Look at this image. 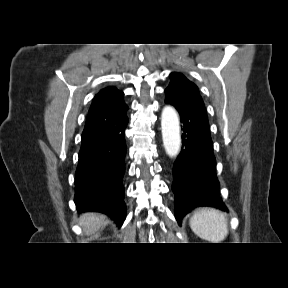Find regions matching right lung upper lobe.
<instances>
[{"mask_svg":"<svg viewBox=\"0 0 288 288\" xmlns=\"http://www.w3.org/2000/svg\"><path fill=\"white\" fill-rule=\"evenodd\" d=\"M124 93L115 87L102 89L93 99L82 133L81 148L113 138L128 122Z\"/></svg>","mask_w":288,"mask_h":288,"instance_id":"right-lung-upper-lobe-1","label":"right lung upper lobe"}]
</instances>
